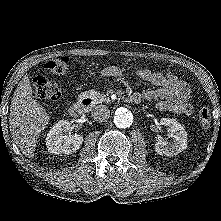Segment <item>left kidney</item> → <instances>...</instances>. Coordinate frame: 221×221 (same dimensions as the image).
<instances>
[{"mask_svg": "<svg viewBox=\"0 0 221 221\" xmlns=\"http://www.w3.org/2000/svg\"><path fill=\"white\" fill-rule=\"evenodd\" d=\"M162 125L170 128L172 142L165 141L162 137H157L155 151L159 155L172 156L187 148V132L183 126L175 119L162 118Z\"/></svg>", "mask_w": 221, "mask_h": 221, "instance_id": "obj_1", "label": "left kidney"}]
</instances>
